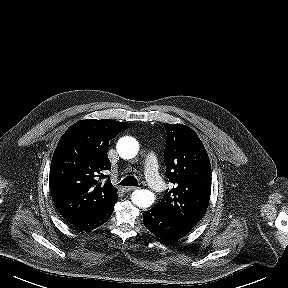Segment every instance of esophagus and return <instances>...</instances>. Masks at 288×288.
<instances>
[{
    "label": "esophagus",
    "mask_w": 288,
    "mask_h": 288,
    "mask_svg": "<svg viewBox=\"0 0 288 288\" xmlns=\"http://www.w3.org/2000/svg\"><path fill=\"white\" fill-rule=\"evenodd\" d=\"M123 189L125 192H132V191L137 190L138 188L137 187H125Z\"/></svg>",
    "instance_id": "1"
}]
</instances>
